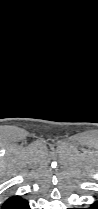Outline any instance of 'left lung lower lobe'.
I'll list each match as a JSON object with an SVG mask.
<instances>
[{
	"mask_svg": "<svg viewBox=\"0 0 98 209\" xmlns=\"http://www.w3.org/2000/svg\"><path fill=\"white\" fill-rule=\"evenodd\" d=\"M89 209H98L96 204H93L92 208H89Z\"/></svg>",
	"mask_w": 98,
	"mask_h": 209,
	"instance_id": "0a47b994",
	"label": "left lung lower lobe"
}]
</instances>
